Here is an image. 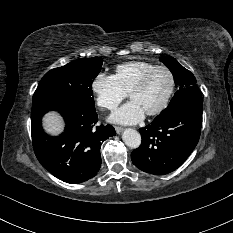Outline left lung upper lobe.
<instances>
[{
	"instance_id": "left-lung-upper-lobe-1",
	"label": "left lung upper lobe",
	"mask_w": 233,
	"mask_h": 233,
	"mask_svg": "<svg viewBox=\"0 0 233 233\" xmlns=\"http://www.w3.org/2000/svg\"><path fill=\"white\" fill-rule=\"evenodd\" d=\"M160 60L170 69L174 81L178 86L169 106L164 109L156 118H165L172 114L177 108L192 98L201 97V92L196 86L194 75L184 68L176 59L172 57H161Z\"/></svg>"
}]
</instances>
